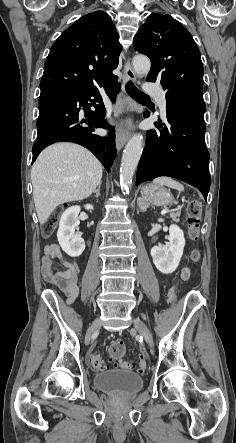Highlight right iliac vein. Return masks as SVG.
I'll return each instance as SVG.
<instances>
[{
    "mask_svg": "<svg viewBox=\"0 0 236 443\" xmlns=\"http://www.w3.org/2000/svg\"><path fill=\"white\" fill-rule=\"evenodd\" d=\"M98 323H99V320H96V321L93 323V326L97 325Z\"/></svg>",
    "mask_w": 236,
    "mask_h": 443,
    "instance_id": "63e3f726",
    "label": "right iliac vein"
}]
</instances>
